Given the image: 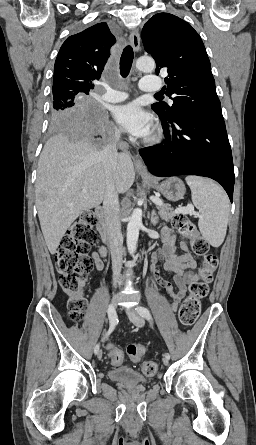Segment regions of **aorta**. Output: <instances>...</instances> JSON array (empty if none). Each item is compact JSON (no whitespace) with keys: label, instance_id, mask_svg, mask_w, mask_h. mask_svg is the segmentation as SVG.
Segmentation results:
<instances>
[{"label":"aorta","instance_id":"obj_1","mask_svg":"<svg viewBox=\"0 0 256 445\" xmlns=\"http://www.w3.org/2000/svg\"><path fill=\"white\" fill-rule=\"evenodd\" d=\"M136 68L143 72H152L155 69V61L150 57H140L136 61ZM142 225V210L135 209L129 218L127 226V249L133 255L137 249L139 230Z\"/></svg>","mask_w":256,"mask_h":445}]
</instances>
